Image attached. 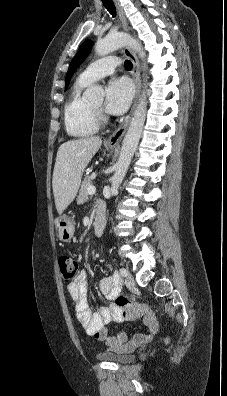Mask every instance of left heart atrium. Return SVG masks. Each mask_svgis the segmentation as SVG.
Wrapping results in <instances>:
<instances>
[{
    "mask_svg": "<svg viewBox=\"0 0 227 396\" xmlns=\"http://www.w3.org/2000/svg\"><path fill=\"white\" fill-rule=\"evenodd\" d=\"M132 97L133 87L129 80L125 78L113 79L106 89L105 109L110 114H122L129 107Z\"/></svg>",
    "mask_w": 227,
    "mask_h": 396,
    "instance_id": "obj_1",
    "label": "left heart atrium"
}]
</instances>
